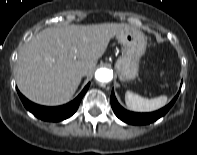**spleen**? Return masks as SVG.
I'll use <instances>...</instances> for the list:
<instances>
[{
    "instance_id": "3e777b00",
    "label": "spleen",
    "mask_w": 197,
    "mask_h": 155,
    "mask_svg": "<svg viewBox=\"0 0 197 155\" xmlns=\"http://www.w3.org/2000/svg\"><path fill=\"white\" fill-rule=\"evenodd\" d=\"M127 107L137 112H150L163 107L167 103V96H159L153 99H146L131 91L125 93Z\"/></svg>"
}]
</instances>
